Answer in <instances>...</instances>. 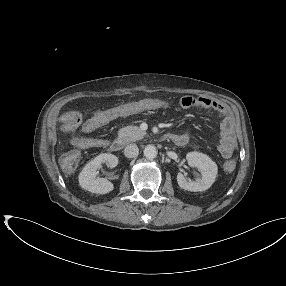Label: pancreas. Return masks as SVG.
<instances>
[{
	"label": "pancreas",
	"mask_w": 286,
	"mask_h": 286,
	"mask_svg": "<svg viewBox=\"0 0 286 286\" xmlns=\"http://www.w3.org/2000/svg\"><path fill=\"white\" fill-rule=\"evenodd\" d=\"M146 135V132L137 126H126L118 131V139L124 143H131L141 140Z\"/></svg>",
	"instance_id": "obj_1"
}]
</instances>
